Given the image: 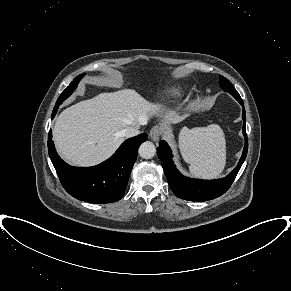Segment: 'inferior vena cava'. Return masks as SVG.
Segmentation results:
<instances>
[{
  "label": "inferior vena cava",
  "instance_id": "inferior-vena-cava-1",
  "mask_svg": "<svg viewBox=\"0 0 291 291\" xmlns=\"http://www.w3.org/2000/svg\"><path fill=\"white\" fill-rule=\"evenodd\" d=\"M139 133L138 127L129 126L122 130V135L124 137H133Z\"/></svg>",
  "mask_w": 291,
  "mask_h": 291
}]
</instances>
